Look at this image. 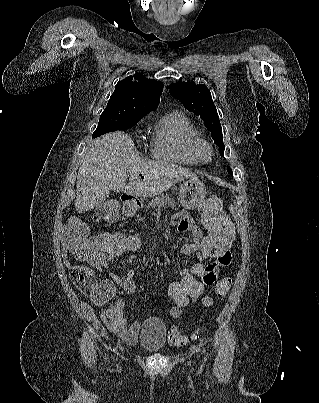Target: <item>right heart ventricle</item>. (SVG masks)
Returning <instances> with one entry per match:
<instances>
[{"label":"right heart ventricle","instance_id":"1","mask_svg":"<svg viewBox=\"0 0 319 403\" xmlns=\"http://www.w3.org/2000/svg\"><path fill=\"white\" fill-rule=\"evenodd\" d=\"M197 137L190 118L182 111L174 110L154 124L150 151L158 159L196 165L199 160L193 151V142Z\"/></svg>","mask_w":319,"mask_h":403}]
</instances>
